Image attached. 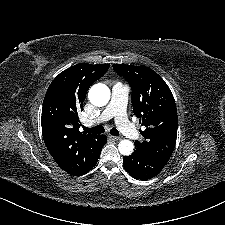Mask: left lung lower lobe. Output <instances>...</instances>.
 <instances>
[{
	"mask_svg": "<svg viewBox=\"0 0 225 225\" xmlns=\"http://www.w3.org/2000/svg\"><path fill=\"white\" fill-rule=\"evenodd\" d=\"M166 163V160L153 157L137 147L132 155L123 157L127 172L139 180L153 178L160 173Z\"/></svg>",
	"mask_w": 225,
	"mask_h": 225,
	"instance_id": "1",
	"label": "left lung lower lobe"
}]
</instances>
